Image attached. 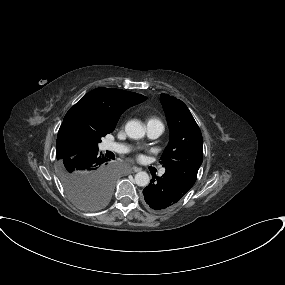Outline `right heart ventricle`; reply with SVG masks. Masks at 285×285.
<instances>
[{"label": "right heart ventricle", "mask_w": 285, "mask_h": 285, "mask_svg": "<svg viewBox=\"0 0 285 285\" xmlns=\"http://www.w3.org/2000/svg\"><path fill=\"white\" fill-rule=\"evenodd\" d=\"M148 123H158V124L163 125L162 122H161V120H160L158 117H156V116H151V117L148 119L147 124H148Z\"/></svg>", "instance_id": "obj_1"}]
</instances>
